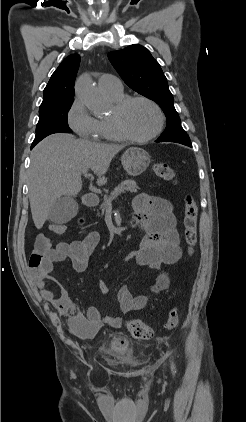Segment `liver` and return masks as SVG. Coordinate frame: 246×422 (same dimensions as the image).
<instances>
[{"mask_svg":"<svg viewBox=\"0 0 246 422\" xmlns=\"http://www.w3.org/2000/svg\"><path fill=\"white\" fill-rule=\"evenodd\" d=\"M123 148L62 133L42 140L31 152L29 169V201L36 228L43 227L59 197L77 196L83 170L91 169L98 177L97 184L104 185L111 160Z\"/></svg>","mask_w":246,"mask_h":422,"instance_id":"liver-1","label":"liver"}]
</instances>
